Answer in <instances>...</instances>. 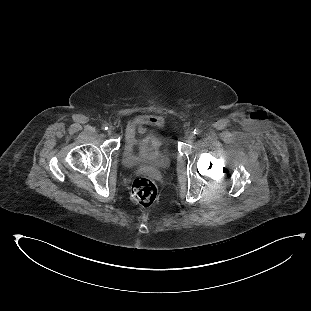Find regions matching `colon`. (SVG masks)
Returning <instances> with one entry per match:
<instances>
[{
	"mask_svg": "<svg viewBox=\"0 0 311 311\" xmlns=\"http://www.w3.org/2000/svg\"><path fill=\"white\" fill-rule=\"evenodd\" d=\"M131 194L135 203L148 207L155 202L158 190L150 177L139 176L132 183Z\"/></svg>",
	"mask_w": 311,
	"mask_h": 311,
	"instance_id": "1",
	"label": "colon"
}]
</instances>
